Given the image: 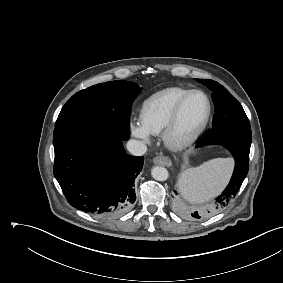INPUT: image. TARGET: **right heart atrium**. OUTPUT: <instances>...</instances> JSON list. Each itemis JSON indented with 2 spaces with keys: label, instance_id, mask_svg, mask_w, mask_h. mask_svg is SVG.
<instances>
[{
  "label": "right heart atrium",
  "instance_id": "1",
  "mask_svg": "<svg viewBox=\"0 0 283 283\" xmlns=\"http://www.w3.org/2000/svg\"><path fill=\"white\" fill-rule=\"evenodd\" d=\"M129 129H130L132 136L140 140L142 143L148 144L150 142V134L142 126L141 122L134 121V120L130 121Z\"/></svg>",
  "mask_w": 283,
  "mask_h": 283
}]
</instances>
